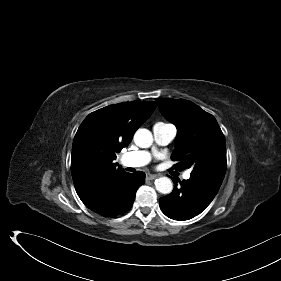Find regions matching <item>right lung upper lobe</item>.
I'll use <instances>...</instances> for the list:
<instances>
[{
	"label": "right lung upper lobe",
	"instance_id": "cb5924a9",
	"mask_svg": "<svg viewBox=\"0 0 281 281\" xmlns=\"http://www.w3.org/2000/svg\"><path fill=\"white\" fill-rule=\"evenodd\" d=\"M156 108L153 101L109 105L90 113L74 137L71 173L78 196L121 171L113 160Z\"/></svg>",
	"mask_w": 281,
	"mask_h": 281
}]
</instances>
